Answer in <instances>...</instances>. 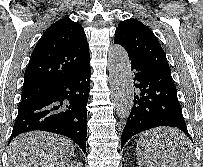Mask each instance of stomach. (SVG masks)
I'll return each mask as SVG.
<instances>
[{
    "label": "stomach",
    "instance_id": "obj_1",
    "mask_svg": "<svg viewBox=\"0 0 203 167\" xmlns=\"http://www.w3.org/2000/svg\"><path fill=\"white\" fill-rule=\"evenodd\" d=\"M144 154H145V157L149 156V152L148 151H145Z\"/></svg>",
    "mask_w": 203,
    "mask_h": 167
}]
</instances>
